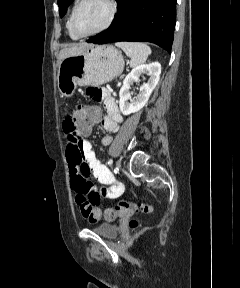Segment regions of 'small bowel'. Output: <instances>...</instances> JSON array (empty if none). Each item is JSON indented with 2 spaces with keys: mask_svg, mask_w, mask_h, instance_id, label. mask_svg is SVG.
Here are the masks:
<instances>
[{
  "mask_svg": "<svg viewBox=\"0 0 240 288\" xmlns=\"http://www.w3.org/2000/svg\"><path fill=\"white\" fill-rule=\"evenodd\" d=\"M86 94L89 98L104 104L105 115L102 118V126L108 133H114L122 123V116L109 90L102 87H89ZM63 131L67 143L70 183L77 195L108 199L120 197L124 192V185L97 159L91 143L85 139L90 130L76 129L71 121V115L67 114L63 121ZM111 140L112 137L109 135L103 138L102 143L109 145ZM90 174L104 187L94 184L90 180Z\"/></svg>",
  "mask_w": 240,
  "mask_h": 288,
  "instance_id": "c3829d8e",
  "label": "small bowel"
}]
</instances>
